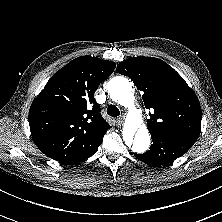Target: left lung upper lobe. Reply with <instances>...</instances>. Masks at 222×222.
Here are the masks:
<instances>
[{"label": "left lung upper lobe", "mask_w": 222, "mask_h": 222, "mask_svg": "<svg viewBox=\"0 0 222 222\" xmlns=\"http://www.w3.org/2000/svg\"><path fill=\"white\" fill-rule=\"evenodd\" d=\"M117 73L130 77L151 109L150 133H168L197 140L202 112L196 94L167 63L154 57H133L117 65Z\"/></svg>", "instance_id": "5c2ea615"}]
</instances>
